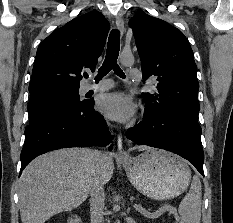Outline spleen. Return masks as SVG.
Instances as JSON below:
<instances>
[{"instance_id":"3e777b00","label":"spleen","mask_w":233,"mask_h":223,"mask_svg":"<svg viewBox=\"0 0 233 223\" xmlns=\"http://www.w3.org/2000/svg\"><path fill=\"white\" fill-rule=\"evenodd\" d=\"M201 197V181L198 175H193L191 187L179 205L180 223H200Z\"/></svg>"}]
</instances>
